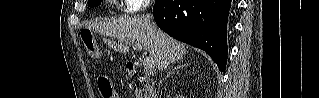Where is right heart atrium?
I'll return each instance as SVG.
<instances>
[{
  "instance_id": "d8ad5b80",
  "label": "right heart atrium",
  "mask_w": 319,
  "mask_h": 98,
  "mask_svg": "<svg viewBox=\"0 0 319 98\" xmlns=\"http://www.w3.org/2000/svg\"><path fill=\"white\" fill-rule=\"evenodd\" d=\"M124 2H125L124 11L128 13H132L137 10H140L147 4V1H144V0H126Z\"/></svg>"
}]
</instances>
